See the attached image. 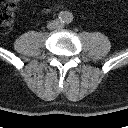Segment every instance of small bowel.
Instances as JSON below:
<instances>
[{"label":"small bowel","mask_w":128,"mask_h":128,"mask_svg":"<svg viewBox=\"0 0 128 128\" xmlns=\"http://www.w3.org/2000/svg\"><path fill=\"white\" fill-rule=\"evenodd\" d=\"M51 9H52V7H50V6H44L42 10L44 13H48L51 11Z\"/></svg>","instance_id":"obj_1"}]
</instances>
